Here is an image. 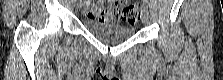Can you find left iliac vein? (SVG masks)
Returning a JSON list of instances; mask_svg holds the SVG:
<instances>
[{
  "instance_id": "left-iliac-vein-1",
  "label": "left iliac vein",
  "mask_w": 223,
  "mask_h": 80,
  "mask_svg": "<svg viewBox=\"0 0 223 80\" xmlns=\"http://www.w3.org/2000/svg\"><path fill=\"white\" fill-rule=\"evenodd\" d=\"M142 23L144 25H147L149 23V12L145 6L142 9Z\"/></svg>"
}]
</instances>
